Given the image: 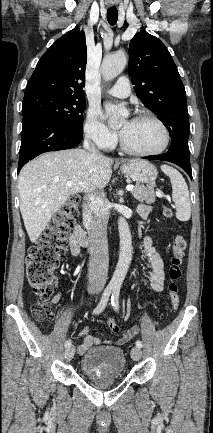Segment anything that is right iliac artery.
Instances as JSON below:
<instances>
[{
  "instance_id": "82829eb1",
  "label": "right iliac artery",
  "mask_w": 213,
  "mask_h": 433,
  "mask_svg": "<svg viewBox=\"0 0 213 433\" xmlns=\"http://www.w3.org/2000/svg\"><path fill=\"white\" fill-rule=\"evenodd\" d=\"M112 291H113V287H111V286L106 287V289L103 292V295H102L100 302L98 303L96 308L93 310V314H100L105 309ZM64 346L66 348L71 346V340L70 339L66 340Z\"/></svg>"
}]
</instances>
